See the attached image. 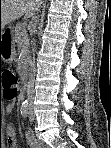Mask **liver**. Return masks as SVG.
I'll use <instances>...</instances> for the list:
<instances>
[{"label":"liver","mask_w":111,"mask_h":148,"mask_svg":"<svg viewBox=\"0 0 111 148\" xmlns=\"http://www.w3.org/2000/svg\"><path fill=\"white\" fill-rule=\"evenodd\" d=\"M42 0H1L0 26L2 29L21 16L31 17L40 7Z\"/></svg>","instance_id":"6515ba94"}]
</instances>
